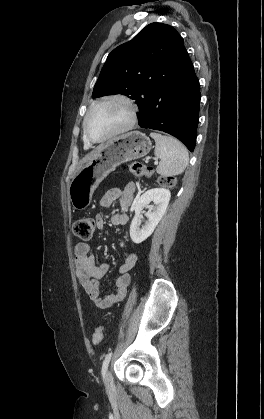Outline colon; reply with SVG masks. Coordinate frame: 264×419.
Wrapping results in <instances>:
<instances>
[{"label": "colon", "instance_id": "colon-1", "mask_svg": "<svg viewBox=\"0 0 264 419\" xmlns=\"http://www.w3.org/2000/svg\"><path fill=\"white\" fill-rule=\"evenodd\" d=\"M128 170L135 176L148 177L152 174V168L140 162H131L128 165ZM159 183L163 186L172 187L176 180L174 177H160ZM95 229V221L91 217H82L73 224V232L78 238L87 241L93 236ZM104 337V328L99 326L93 333L92 341L94 345H99Z\"/></svg>", "mask_w": 264, "mask_h": 419}]
</instances>
